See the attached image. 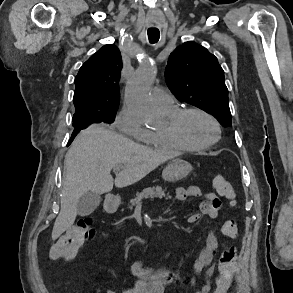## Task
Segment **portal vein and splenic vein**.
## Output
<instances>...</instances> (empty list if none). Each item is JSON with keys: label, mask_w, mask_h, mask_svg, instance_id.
<instances>
[{"label": "portal vein and splenic vein", "mask_w": 293, "mask_h": 293, "mask_svg": "<svg viewBox=\"0 0 293 293\" xmlns=\"http://www.w3.org/2000/svg\"><path fill=\"white\" fill-rule=\"evenodd\" d=\"M120 169H121L120 166H117V167H114V168H113V170L116 171V172L119 171Z\"/></svg>", "instance_id": "portal-vein-and-splenic-vein-1"}]
</instances>
